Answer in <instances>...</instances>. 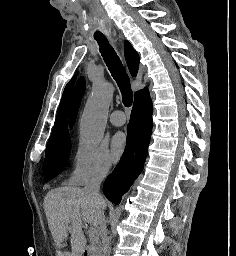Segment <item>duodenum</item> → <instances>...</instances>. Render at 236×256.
Returning a JSON list of instances; mask_svg holds the SVG:
<instances>
[{
    "instance_id": "410a0bca",
    "label": "duodenum",
    "mask_w": 236,
    "mask_h": 256,
    "mask_svg": "<svg viewBox=\"0 0 236 256\" xmlns=\"http://www.w3.org/2000/svg\"><path fill=\"white\" fill-rule=\"evenodd\" d=\"M81 256H90V248H89V246L85 245L83 247Z\"/></svg>"
}]
</instances>
